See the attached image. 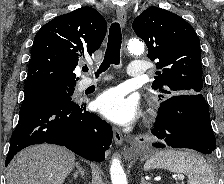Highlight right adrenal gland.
<instances>
[{
  "instance_id": "2a0ac1e0",
  "label": "right adrenal gland",
  "mask_w": 224,
  "mask_h": 184,
  "mask_svg": "<svg viewBox=\"0 0 224 184\" xmlns=\"http://www.w3.org/2000/svg\"><path fill=\"white\" fill-rule=\"evenodd\" d=\"M76 167H77V171L74 173V179H76L78 177V175H81V177L84 179L85 178V171L80 166L79 162H76Z\"/></svg>"
}]
</instances>
